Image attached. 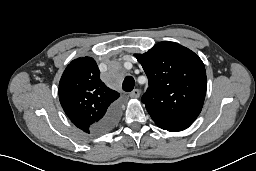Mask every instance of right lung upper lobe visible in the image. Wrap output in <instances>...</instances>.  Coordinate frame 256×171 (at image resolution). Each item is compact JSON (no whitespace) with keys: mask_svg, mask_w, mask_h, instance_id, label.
<instances>
[{"mask_svg":"<svg viewBox=\"0 0 256 171\" xmlns=\"http://www.w3.org/2000/svg\"><path fill=\"white\" fill-rule=\"evenodd\" d=\"M120 94L100 80L95 60L82 57L73 60L59 82V99L69 119L86 133L103 131L101 121L117 104Z\"/></svg>","mask_w":256,"mask_h":171,"instance_id":"right-lung-upper-lobe-1","label":"right lung upper lobe"}]
</instances>
